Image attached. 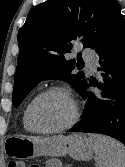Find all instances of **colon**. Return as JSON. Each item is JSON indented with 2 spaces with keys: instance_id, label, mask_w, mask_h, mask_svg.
<instances>
[{
  "instance_id": "obj_1",
  "label": "colon",
  "mask_w": 125,
  "mask_h": 167,
  "mask_svg": "<svg viewBox=\"0 0 125 167\" xmlns=\"http://www.w3.org/2000/svg\"><path fill=\"white\" fill-rule=\"evenodd\" d=\"M8 167H39L38 165L27 166L25 161L21 159H12L9 161Z\"/></svg>"
}]
</instances>
